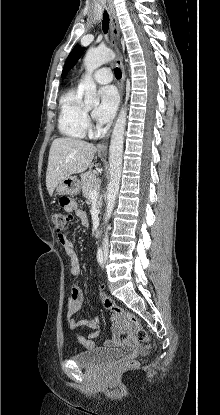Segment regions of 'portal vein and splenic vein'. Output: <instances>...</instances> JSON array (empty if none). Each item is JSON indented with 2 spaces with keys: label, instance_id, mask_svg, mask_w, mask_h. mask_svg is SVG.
I'll return each mask as SVG.
<instances>
[{
  "label": "portal vein and splenic vein",
  "instance_id": "1",
  "mask_svg": "<svg viewBox=\"0 0 220 415\" xmlns=\"http://www.w3.org/2000/svg\"><path fill=\"white\" fill-rule=\"evenodd\" d=\"M99 188H100V184L98 183V184L95 186V188H94V189H92V190L90 191L89 196H90L91 198H93V197H97V196H98V193H99Z\"/></svg>",
  "mask_w": 220,
  "mask_h": 415
}]
</instances>
